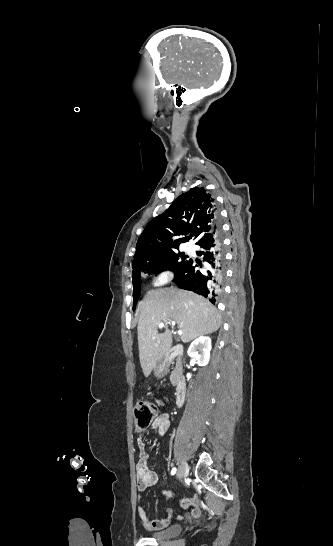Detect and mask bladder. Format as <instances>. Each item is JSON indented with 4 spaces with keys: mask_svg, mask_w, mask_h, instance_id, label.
Here are the masks:
<instances>
[{
    "mask_svg": "<svg viewBox=\"0 0 333 546\" xmlns=\"http://www.w3.org/2000/svg\"><path fill=\"white\" fill-rule=\"evenodd\" d=\"M181 531V526L178 524H172L165 527L164 529L149 532L147 535L149 537L155 538L157 540H164L178 535Z\"/></svg>",
    "mask_w": 333,
    "mask_h": 546,
    "instance_id": "31cf9c89",
    "label": "bladder"
}]
</instances>
